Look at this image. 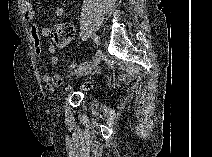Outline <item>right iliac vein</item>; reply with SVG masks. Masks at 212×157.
<instances>
[{
	"instance_id": "right-iliac-vein-1",
	"label": "right iliac vein",
	"mask_w": 212,
	"mask_h": 157,
	"mask_svg": "<svg viewBox=\"0 0 212 157\" xmlns=\"http://www.w3.org/2000/svg\"><path fill=\"white\" fill-rule=\"evenodd\" d=\"M99 41H100V39H99ZM100 58H101V52L98 49L96 54H95L93 61L86 68L79 71L77 77L86 76L89 73H91L97 67V65L99 64Z\"/></svg>"
}]
</instances>
